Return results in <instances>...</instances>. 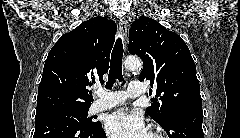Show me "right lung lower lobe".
Masks as SVG:
<instances>
[{"instance_id": "right-lung-lower-lobe-1", "label": "right lung lower lobe", "mask_w": 240, "mask_h": 138, "mask_svg": "<svg viewBox=\"0 0 240 138\" xmlns=\"http://www.w3.org/2000/svg\"><path fill=\"white\" fill-rule=\"evenodd\" d=\"M33 138H106L101 123L83 126L73 118L57 117L35 123Z\"/></svg>"}]
</instances>
